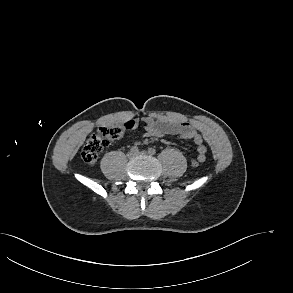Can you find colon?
<instances>
[{
    "label": "colon",
    "instance_id": "colon-1",
    "mask_svg": "<svg viewBox=\"0 0 293 293\" xmlns=\"http://www.w3.org/2000/svg\"><path fill=\"white\" fill-rule=\"evenodd\" d=\"M133 125L132 122L128 123V127ZM123 133L120 126H108L97 129L91 137L87 140L81 151L82 160L89 165L96 163L99 154L109 145L117 141ZM205 161V153L198 155L197 160L193 162L194 166Z\"/></svg>",
    "mask_w": 293,
    "mask_h": 293
}]
</instances>
